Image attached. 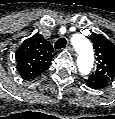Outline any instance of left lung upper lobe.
<instances>
[{"mask_svg": "<svg viewBox=\"0 0 115 119\" xmlns=\"http://www.w3.org/2000/svg\"><path fill=\"white\" fill-rule=\"evenodd\" d=\"M90 37L97 56V67L93 74L107 81H113L115 79V45L101 34L93 33Z\"/></svg>", "mask_w": 115, "mask_h": 119, "instance_id": "5c2ea615", "label": "left lung upper lobe"}]
</instances>
